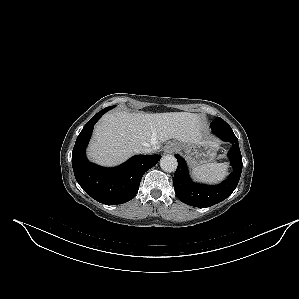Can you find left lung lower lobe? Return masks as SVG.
I'll list each match as a JSON object with an SVG mask.
<instances>
[{
  "instance_id": "obj_1",
  "label": "left lung lower lobe",
  "mask_w": 299,
  "mask_h": 299,
  "mask_svg": "<svg viewBox=\"0 0 299 299\" xmlns=\"http://www.w3.org/2000/svg\"><path fill=\"white\" fill-rule=\"evenodd\" d=\"M211 128L213 133L222 140L232 143L228 156L234 171L224 182L216 186L192 182L186 162L178 154L175 155L178 161V167L173 179L175 194L181 202L199 208L210 207L229 197L237 187L242 172V156L238 139L231 127L225 121H213Z\"/></svg>"
}]
</instances>
